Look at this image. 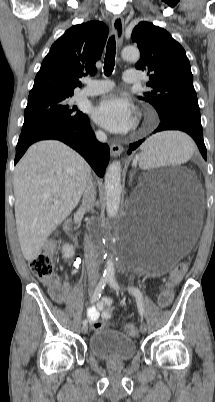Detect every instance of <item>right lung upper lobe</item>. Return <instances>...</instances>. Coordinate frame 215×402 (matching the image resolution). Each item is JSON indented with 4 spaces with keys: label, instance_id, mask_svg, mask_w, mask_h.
I'll list each match as a JSON object with an SVG mask.
<instances>
[{
    "label": "right lung upper lobe",
    "instance_id": "obj_1",
    "mask_svg": "<svg viewBox=\"0 0 215 402\" xmlns=\"http://www.w3.org/2000/svg\"><path fill=\"white\" fill-rule=\"evenodd\" d=\"M108 27L90 21L68 29L52 46L37 73L29 97L44 94L73 95L81 86L79 78L96 73Z\"/></svg>",
    "mask_w": 215,
    "mask_h": 402
}]
</instances>
